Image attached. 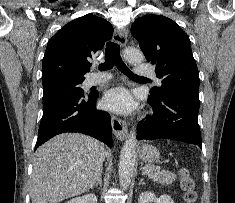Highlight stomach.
Returning <instances> with one entry per match:
<instances>
[{"instance_id":"stomach-1","label":"stomach","mask_w":235,"mask_h":203,"mask_svg":"<svg viewBox=\"0 0 235 203\" xmlns=\"http://www.w3.org/2000/svg\"><path fill=\"white\" fill-rule=\"evenodd\" d=\"M139 156L141 160L149 164L157 162L160 158V154L157 148L149 144L141 146L139 149Z\"/></svg>"}]
</instances>
